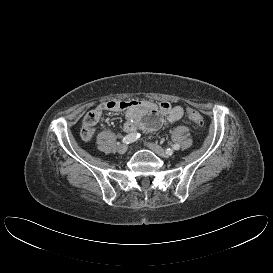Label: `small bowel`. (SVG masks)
I'll list each match as a JSON object with an SVG mask.
<instances>
[{"mask_svg": "<svg viewBox=\"0 0 273 273\" xmlns=\"http://www.w3.org/2000/svg\"><path fill=\"white\" fill-rule=\"evenodd\" d=\"M105 112L123 113L124 130L128 133L136 130L154 132L180 120L184 115L182 107L173 106L166 101L155 104L145 100H110L97 105L85 115L81 129L84 141L94 137L95 126Z\"/></svg>", "mask_w": 273, "mask_h": 273, "instance_id": "c3829d8e", "label": "small bowel"}]
</instances>
